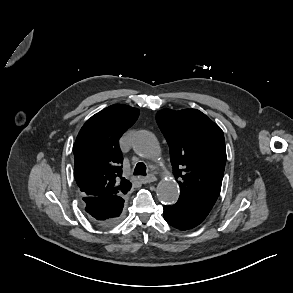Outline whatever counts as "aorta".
Returning <instances> with one entry per match:
<instances>
[{
	"mask_svg": "<svg viewBox=\"0 0 293 293\" xmlns=\"http://www.w3.org/2000/svg\"><path fill=\"white\" fill-rule=\"evenodd\" d=\"M132 146L138 155L149 161L158 159L161 154L156 137L146 130H140L135 133L132 139ZM157 195L164 203H175L179 197V186L172 179H163L158 184Z\"/></svg>",
	"mask_w": 293,
	"mask_h": 293,
	"instance_id": "1",
	"label": "aorta"
}]
</instances>
